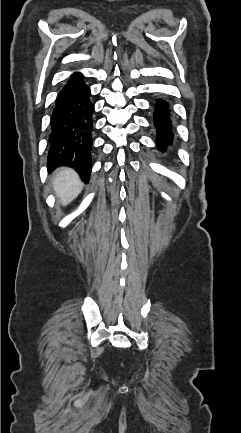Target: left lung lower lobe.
<instances>
[{
	"label": "left lung lower lobe",
	"instance_id": "0a47b994",
	"mask_svg": "<svg viewBox=\"0 0 241 433\" xmlns=\"http://www.w3.org/2000/svg\"><path fill=\"white\" fill-rule=\"evenodd\" d=\"M153 123L156 129V144L161 152H166L175 140V126L172 109L169 103L162 98L156 99L153 104Z\"/></svg>",
	"mask_w": 241,
	"mask_h": 433
}]
</instances>
